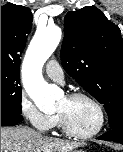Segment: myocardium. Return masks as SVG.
I'll list each match as a JSON object with an SVG mask.
<instances>
[{"instance_id": "f54148a6", "label": "myocardium", "mask_w": 123, "mask_h": 152, "mask_svg": "<svg viewBox=\"0 0 123 152\" xmlns=\"http://www.w3.org/2000/svg\"><path fill=\"white\" fill-rule=\"evenodd\" d=\"M66 98L68 100H75V99H86L88 101H90L97 109L98 113H99V123L97 125V127L87 133H81V132H77L75 131L70 123L68 122V119L66 118L65 115H63L62 113H58L57 116L59 118L60 121V125L62 127V129L64 130L65 133H67L68 135L75 137V138H79V139H88V138H92L94 136H96L97 134H99L101 132V130L104 128L105 123H106V113L105 110L102 106V104L91 94L86 93V92H71L69 94L66 95Z\"/></svg>"}]
</instances>
